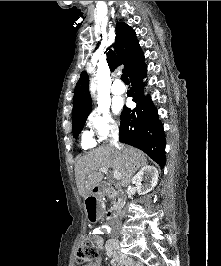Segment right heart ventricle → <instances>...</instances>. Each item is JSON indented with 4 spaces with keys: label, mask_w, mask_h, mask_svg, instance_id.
<instances>
[{
    "label": "right heart ventricle",
    "mask_w": 221,
    "mask_h": 266,
    "mask_svg": "<svg viewBox=\"0 0 221 266\" xmlns=\"http://www.w3.org/2000/svg\"><path fill=\"white\" fill-rule=\"evenodd\" d=\"M82 145L84 148H91L95 145V142L90 134L88 133L83 134Z\"/></svg>",
    "instance_id": "e07e8e85"
}]
</instances>
